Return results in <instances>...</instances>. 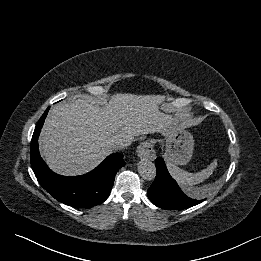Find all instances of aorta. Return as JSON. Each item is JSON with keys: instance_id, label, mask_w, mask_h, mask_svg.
<instances>
[{"instance_id": "obj_1", "label": "aorta", "mask_w": 261, "mask_h": 261, "mask_svg": "<svg viewBox=\"0 0 261 261\" xmlns=\"http://www.w3.org/2000/svg\"><path fill=\"white\" fill-rule=\"evenodd\" d=\"M138 172L140 176L147 181H152L156 177V167L154 163L146 159L139 161Z\"/></svg>"}]
</instances>
